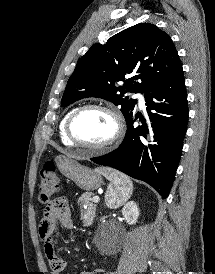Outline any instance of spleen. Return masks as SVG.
Masks as SVG:
<instances>
[{"mask_svg": "<svg viewBox=\"0 0 215 274\" xmlns=\"http://www.w3.org/2000/svg\"><path fill=\"white\" fill-rule=\"evenodd\" d=\"M97 171L110 180L105 193L106 205L109 208H116L123 202L125 203L133 190V183L130 178L110 168H98Z\"/></svg>", "mask_w": 215, "mask_h": 274, "instance_id": "spleen-1", "label": "spleen"}]
</instances>
